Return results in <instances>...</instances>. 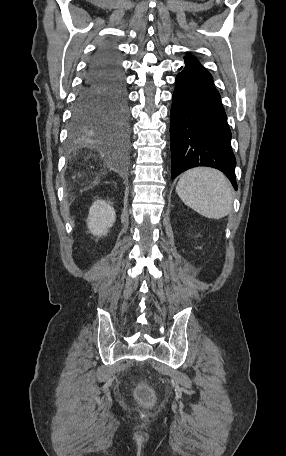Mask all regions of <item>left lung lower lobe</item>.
<instances>
[{"instance_id":"0a47b994","label":"left lung lower lobe","mask_w":286,"mask_h":456,"mask_svg":"<svg viewBox=\"0 0 286 456\" xmlns=\"http://www.w3.org/2000/svg\"><path fill=\"white\" fill-rule=\"evenodd\" d=\"M172 96L171 177L197 166L219 169L237 190L231 131L212 75L196 59H184Z\"/></svg>"}]
</instances>
